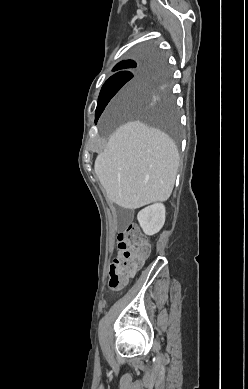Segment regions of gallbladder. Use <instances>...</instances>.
Returning <instances> with one entry per match:
<instances>
[{
    "label": "gallbladder",
    "instance_id": "gallbladder-1",
    "mask_svg": "<svg viewBox=\"0 0 248 389\" xmlns=\"http://www.w3.org/2000/svg\"><path fill=\"white\" fill-rule=\"evenodd\" d=\"M131 219V213L127 210H123V213L120 216V221L122 224H126Z\"/></svg>",
    "mask_w": 248,
    "mask_h": 389
}]
</instances>
